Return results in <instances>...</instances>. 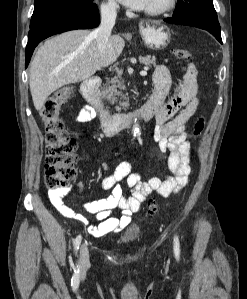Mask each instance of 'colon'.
<instances>
[{"label":"colon","instance_id":"5ec220e1","mask_svg":"<svg viewBox=\"0 0 247 299\" xmlns=\"http://www.w3.org/2000/svg\"><path fill=\"white\" fill-rule=\"evenodd\" d=\"M173 55L180 61H187L191 54L186 49H176ZM72 89L65 87L48 97L42 108L41 116L46 141L45 181L48 188L59 191L76 177L77 143L68 136L59 118L62 105L71 97ZM205 129V120L200 117L193 130L194 137L199 136ZM148 210L154 215L158 210V204L150 200Z\"/></svg>","mask_w":247,"mask_h":299}]
</instances>
